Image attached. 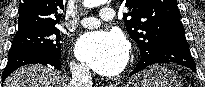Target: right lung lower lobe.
<instances>
[{
	"mask_svg": "<svg viewBox=\"0 0 205 87\" xmlns=\"http://www.w3.org/2000/svg\"><path fill=\"white\" fill-rule=\"evenodd\" d=\"M60 59L61 57L48 55L36 50H10L8 54V62L2 74V82H4L6 77L14 70L26 64H49L59 70L61 68Z\"/></svg>",
	"mask_w": 205,
	"mask_h": 87,
	"instance_id": "obj_1",
	"label": "right lung lower lobe"
}]
</instances>
